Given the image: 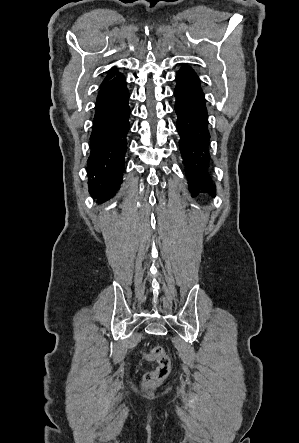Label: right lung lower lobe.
Listing matches in <instances>:
<instances>
[{"label": "right lung lower lobe", "mask_w": 299, "mask_h": 443, "mask_svg": "<svg viewBox=\"0 0 299 443\" xmlns=\"http://www.w3.org/2000/svg\"><path fill=\"white\" fill-rule=\"evenodd\" d=\"M128 99L122 74L101 85L98 93L88 160L89 190L98 202L113 197L121 184L129 131Z\"/></svg>", "instance_id": "right-lung-lower-lobe-1"}]
</instances>
